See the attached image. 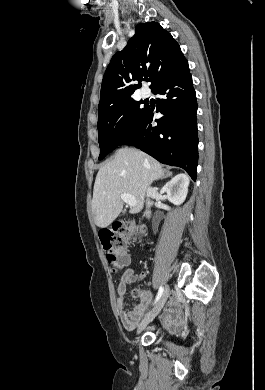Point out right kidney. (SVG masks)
I'll return each instance as SVG.
<instances>
[{
    "label": "right kidney",
    "mask_w": 265,
    "mask_h": 390,
    "mask_svg": "<svg viewBox=\"0 0 265 390\" xmlns=\"http://www.w3.org/2000/svg\"><path fill=\"white\" fill-rule=\"evenodd\" d=\"M189 177L185 174H178L167 182L161 189L160 194L166 193L167 199L175 205L182 204L187 196Z\"/></svg>",
    "instance_id": "obj_1"
}]
</instances>
